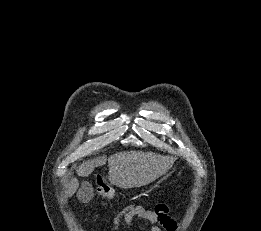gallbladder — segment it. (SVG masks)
<instances>
[{"mask_svg": "<svg viewBox=\"0 0 261 231\" xmlns=\"http://www.w3.org/2000/svg\"><path fill=\"white\" fill-rule=\"evenodd\" d=\"M93 194V188L88 182H83L82 187L79 190L77 197L81 201H85L84 195L91 197Z\"/></svg>", "mask_w": 261, "mask_h": 231, "instance_id": "obj_1", "label": "gallbladder"}]
</instances>
